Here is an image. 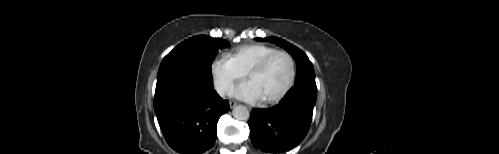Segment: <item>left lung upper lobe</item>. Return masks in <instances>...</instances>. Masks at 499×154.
<instances>
[{"mask_svg":"<svg viewBox=\"0 0 499 154\" xmlns=\"http://www.w3.org/2000/svg\"><path fill=\"white\" fill-rule=\"evenodd\" d=\"M259 41H269L283 47L294 58L297 64V77L295 83L315 82V71L307 55L296 46L277 37L257 38Z\"/></svg>","mask_w":499,"mask_h":154,"instance_id":"5c2ea615","label":"left lung upper lobe"}]
</instances>
